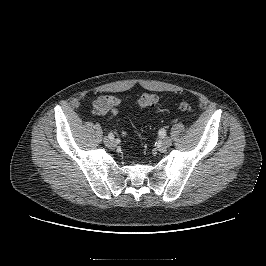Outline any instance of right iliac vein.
I'll use <instances>...</instances> for the list:
<instances>
[{
    "mask_svg": "<svg viewBox=\"0 0 266 266\" xmlns=\"http://www.w3.org/2000/svg\"><path fill=\"white\" fill-rule=\"evenodd\" d=\"M104 143L108 148H114L115 147V142L112 139L105 138Z\"/></svg>",
    "mask_w": 266,
    "mask_h": 266,
    "instance_id": "63e3f726",
    "label": "right iliac vein"
}]
</instances>
